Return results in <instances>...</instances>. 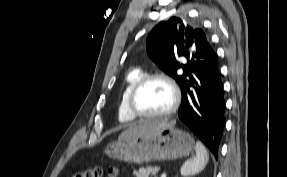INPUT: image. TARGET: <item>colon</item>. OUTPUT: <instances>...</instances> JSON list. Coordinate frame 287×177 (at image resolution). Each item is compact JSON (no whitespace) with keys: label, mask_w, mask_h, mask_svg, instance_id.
<instances>
[{"label":"colon","mask_w":287,"mask_h":177,"mask_svg":"<svg viewBox=\"0 0 287 177\" xmlns=\"http://www.w3.org/2000/svg\"><path fill=\"white\" fill-rule=\"evenodd\" d=\"M117 177L115 168L104 169L101 166L88 167L82 170L75 171L70 177Z\"/></svg>","instance_id":"obj_1"}]
</instances>
